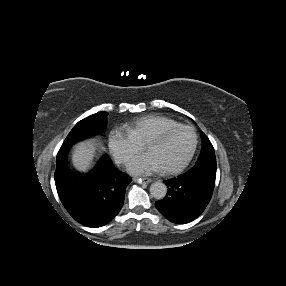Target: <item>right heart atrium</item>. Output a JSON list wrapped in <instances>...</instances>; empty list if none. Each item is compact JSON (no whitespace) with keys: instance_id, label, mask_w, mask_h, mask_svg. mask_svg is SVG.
<instances>
[{"instance_id":"right-heart-atrium-1","label":"right heart atrium","mask_w":286,"mask_h":286,"mask_svg":"<svg viewBox=\"0 0 286 286\" xmlns=\"http://www.w3.org/2000/svg\"><path fill=\"white\" fill-rule=\"evenodd\" d=\"M107 141L112 155L120 164H126L142 148L141 143L120 127L110 130Z\"/></svg>"}]
</instances>
